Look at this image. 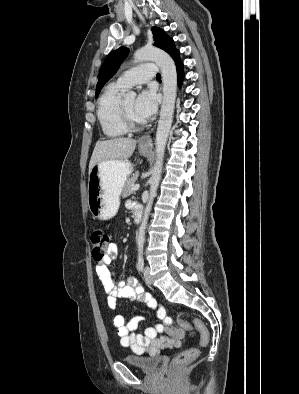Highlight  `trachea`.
<instances>
[{
	"label": "trachea",
	"mask_w": 299,
	"mask_h": 394,
	"mask_svg": "<svg viewBox=\"0 0 299 394\" xmlns=\"http://www.w3.org/2000/svg\"><path fill=\"white\" fill-rule=\"evenodd\" d=\"M156 79H161V75H160V74H157V75H156Z\"/></svg>",
	"instance_id": "1"
}]
</instances>
